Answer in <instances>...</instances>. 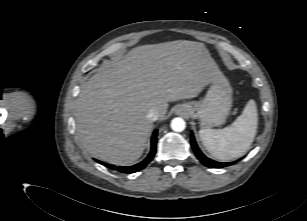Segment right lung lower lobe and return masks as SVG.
<instances>
[{"label":"right lung lower lobe","instance_id":"obj_1","mask_svg":"<svg viewBox=\"0 0 307 221\" xmlns=\"http://www.w3.org/2000/svg\"><path fill=\"white\" fill-rule=\"evenodd\" d=\"M156 142H157V130L154 131L153 135H152V139H151V151L148 154V156L140 163L134 165V166H114L111 164H107L101 161L96 160L98 163L113 169V170H117L119 172L122 173H134L137 172L139 170H142L143 168L146 167V165L153 159L155 152H156Z\"/></svg>","mask_w":307,"mask_h":221}]
</instances>
